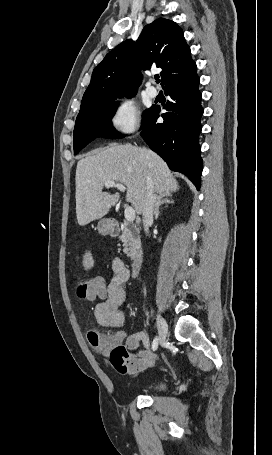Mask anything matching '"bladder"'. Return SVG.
Here are the masks:
<instances>
[{
  "label": "bladder",
  "instance_id": "31cf9c89",
  "mask_svg": "<svg viewBox=\"0 0 272 455\" xmlns=\"http://www.w3.org/2000/svg\"><path fill=\"white\" fill-rule=\"evenodd\" d=\"M167 386L168 383L166 380H158L149 385L148 389L152 392H162L167 388Z\"/></svg>",
  "mask_w": 272,
  "mask_h": 455
}]
</instances>
